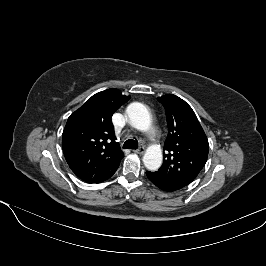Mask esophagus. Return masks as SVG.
Returning <instances> with one entry per match:
<instances>
[{
    "instance_id": "obj_1",
    "label": "esophagus",
    "mask_w": 266,
    "mask_h": 266,
    "mask_svg": "<svg viewBox=\"0 0 266 266\" xmlns=\"http://www.w3.org/2000/svg\"><path fill=\"white\" fill-rule=\"evenodd\" d=\"M134 152L137 154H143L145 152V148L141 146L137 150H134Z\"/></svg>"
}]
</instances>
